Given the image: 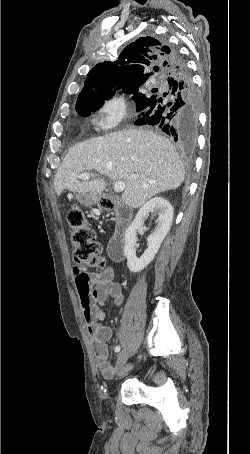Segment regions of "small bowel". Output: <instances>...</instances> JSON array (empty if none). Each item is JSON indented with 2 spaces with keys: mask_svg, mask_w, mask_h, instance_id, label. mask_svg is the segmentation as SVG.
<instances>
[{
  "mask_svg": "<svg viewBox=\"0 0 250 454\" xmlns=\"http://www.w3.org/2000/svg\"><path fill=\"white\" fill-rule=\"evenodd\" d=\"M73 273L80 304L88 323V333L94 346L97 368L107 379L118 373L124 374L128 366L121 367L118 361L114 364L110 362L107 342L113 333L109 326L99 323L106 318V311L98 308L105 305L108 297H112L116 305L122 304L124 296L120 284L114 281L113 271L110 268L99 272H87L74 267Z\"/></svg>",
  "mask_w": 250,
  "mask_h": 454,
  "instance_id": "c3829d8e",
  "label": "small bowel"
}]
</instances>
